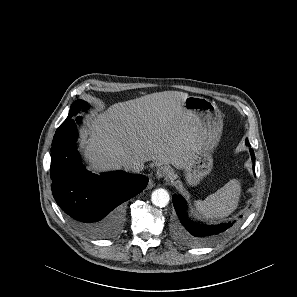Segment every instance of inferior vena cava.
I'll return each instance as SVG.
<instances>
[{
    "instance_id": "inferior-vena-cava-1",
    "label": "inferior vena cava",
    "mask_w": 297,
    "mask_h": 297,
    "mask_svg": "<svg viewBox=\"0 0 297 297\" xmlns=\"http://www.w3.org/2000/svg\"><path fill=\"white\" fill-rule=\"evenodd\" d=\"M144 162L145 160L141 158L140 156H130L128 157L124 163L123 166L126 170L131 172H140L144 168Z\"/></svg>"
}]
</instances>
